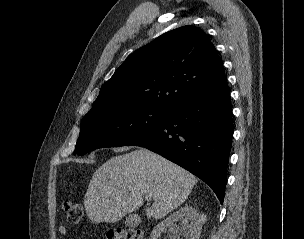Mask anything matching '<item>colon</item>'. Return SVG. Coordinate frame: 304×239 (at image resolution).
<instances>
[{
  "mask_svg": "<svg viewBox=\"0 0 304 239\" xmlns=\"http://www.w3.org/2000/svg\"><path fill=\"white\" fill-rule=\"evenodd\" d=\"M66 218L71 224H79L83 218V207L73 201H66L63 204ZM107 239H142L140 231L127 228H113L107 233Z\"/></svg>",
  "mask_w": 304,
  "mask_h": 239,
  "instance_id": "obj_1",
  "label": "colon"
}]
</instances>
